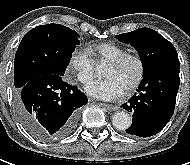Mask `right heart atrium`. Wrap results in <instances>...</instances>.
Here are the masks:
<instances>
[{
  "mask_svg": "<svg viewBox=\"0 0 190 165\" xmlns=\"http://www.w3.org/2000/svg\"><path fill=\"white\" fill-rule=\"evenodd\" d=\"M68 69L82 84H88L94 77V60L85 48L75 49L69 57Z\"/></svg>",
  "mask_w": 190,
  "mask_h": 165,
  "instance_id": "1",
  "label": "right heart atrium"
}]
</instances>
